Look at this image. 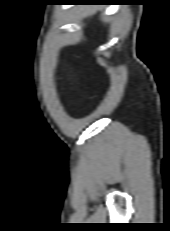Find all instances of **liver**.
Wrapping results in <instances>:
<instances>
[{
	"mask_svg": "<svg viewBox=\"0 0 170 231\" xmlns=\"http://www.w3.org/2000/svg\"><path fill=\"white\" fill-rule=\"evenodd\" d=\"M77 10L83 14H89L91 12L94 11V8H91V7H80V8H77Z\"/></svg>",
	"mask_w": 170,
	"mask_h": 231,
	"instance_id": "1",
	"label": "liver"
}]
</instances>
